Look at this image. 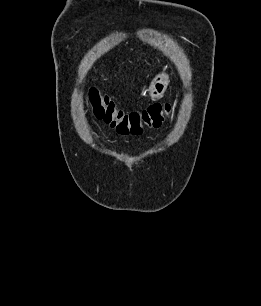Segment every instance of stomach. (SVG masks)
<instances>
[{"instance_id":"0dacf381","label":"stomach","mask_w":261,"mask_h":306,"mask_svg":"<svg viewBox=\"0 0 261 306\" xmlns=\"http://www.w3.org/2000/svg\"><path fill=\"white\" fill-rule=\"evenodd\" d=\"M168 84H169L168 75H166L165 73L157 75L153 79L150 86V93H149L150 98L152 100L161 98L164 95Z\"/></svg>"}]
</instances>
